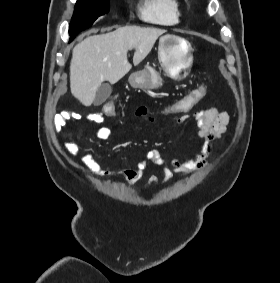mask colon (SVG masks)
<instances>
[{"mask_svg":"<svg viewBox=\"0 0 280 283\" xmlns=\"http://www.w3.org/2000/svg\"><path fill=\"white\" fill-rule=\"evenodd\" d=\"M205 95H209L207 85L197 84V87H193V90L188 91L187 94H183L182 97H178L173 103L164 104V107H161L160 111L166 112L167 116H179L180 112H194V108L200 102H203ZM117 105L121 104L114 103L113 99H110L109 103H103V115L113 116L114 119H117L118 116L122 115L121 111H117ZM68 114L70 113H61L57 118V122H60L64 126L69 119Z\"/></svg>","mask_w":280,"mask_h":283,"instance_id":"obj_1","label":"colon"}]
</instances>
